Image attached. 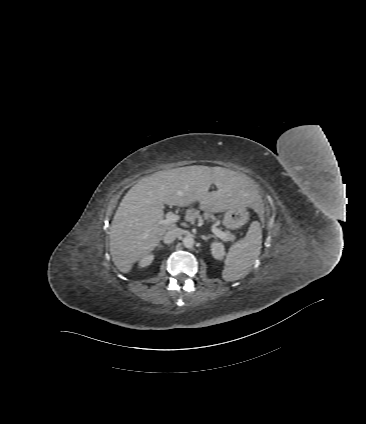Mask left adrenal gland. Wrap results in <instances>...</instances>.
Segmentation results:
<instances>
[{"mask_svg":"<svg viewBox=\"0 0 366 424\" xmlns=\"http://www.w3.org/2000/svg\"><path fill=\"white\" fill-rule=\"evenodd\" d=\"M210 238H216V236H214V235L202 236V239L204 241H208Z\"/></svg>","mask_w":366,"mask_h":424,"instance_id":"obj_1","label":"left adrenal gland"}]
</instances>
